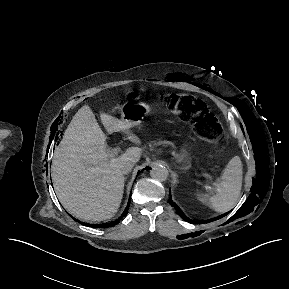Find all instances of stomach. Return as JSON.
<instances>
[{
    "label": "stomach",
    "mask_w": 289,
    "mask_h": 289,
    "mask_svg": "<svg viewBox=\"0 0 289 289\" xmlns=\"http://www.w3.org/2000/svg\"><path fill=\"white\" fill-rule=\"evenodd\" d=\"M148 112L149 106L144 102L123 106L121 108V120L128 126V128H131L138 125L141 122V119H143Z\"/></svg>",
    "instance_id": "obj_1"
}]
</instances>
